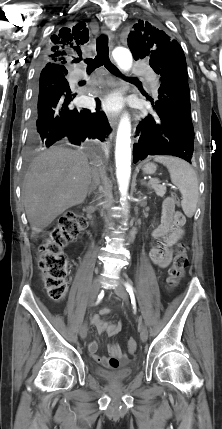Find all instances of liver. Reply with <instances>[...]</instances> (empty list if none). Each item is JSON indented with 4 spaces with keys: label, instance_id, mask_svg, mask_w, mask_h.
Returning <instances> with one entry per match:
<instances>
[{
    "label": "liver",
    "instance_id": "6515ba94",
    "mask_svg": "<svg viewBox=\"0 0 222 429\" xmlns=\"http://www.w3.org/2000/svg\"><path fill=\"white\" fill-rule=\"evenodd\" d=\"M97 163L94 155L62 147H52L34 158L24 177L22 198L35 233L85 201L92 180L91 165Z\"/></svg>",
    "mask_w": 222,
    "mask_h": 429
}]
</instances>
